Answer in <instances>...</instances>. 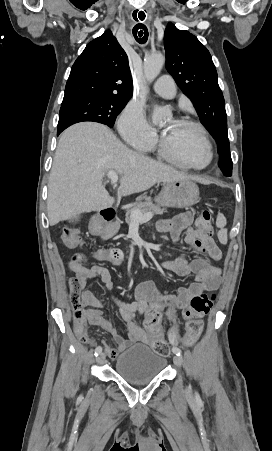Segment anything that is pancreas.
Returning <instances> with one entry per match:
<instances>
[{
  "label": "pancreas",
  "mask_w": 272,
  "mask_h": 451,
  "mask_svg": "<svg viewBox=\"0 0 272 451\" xmlns=\"http://www.w3.org/2000/svg\"><path fill=\"white\" fill-rule=\"evenodd\" d=\"M138 200H148V198H146V196H142V198H138ZM133 210H140V212H142V214H147V212H153V214H164V212H166V210H162V208H160V206H156V204H152V202H150V200H148V202H141V204H136V206H134V208H132V210H129V212H127L126 214V218H125V222L126 224H132V218H131V212H133ZM108 227V231H110V233H112V235H114V233H117L120 224L119 222H114V224H109Z\"/></svg>",
  "instance_id": "1"
}]
</instances>
